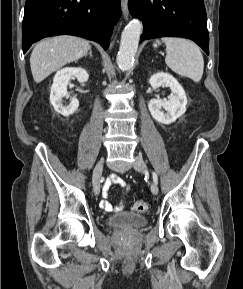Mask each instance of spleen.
<instances>
[{
    "mask_svg": "<svg viewBox=\"0 0 243 289\" xmlns=\"http://www.w3.org/2000/svg\"><path fill=\"white\" fill-rule=\"evenodd\" d=\"M166 65L175 73L199 82L203 75L204 60L199 47L183 38L164 37Z\"/></svg>",
    "mask_w": 243,
    "mask_h": 289,
    "instance_id": "1",
    "label": "spleen"
}]
</instances>
